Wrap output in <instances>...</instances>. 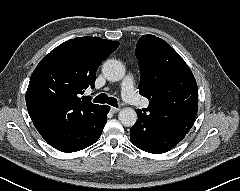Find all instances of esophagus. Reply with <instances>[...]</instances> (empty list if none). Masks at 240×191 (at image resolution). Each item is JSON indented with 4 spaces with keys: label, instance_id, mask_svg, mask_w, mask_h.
Segmentation results:
<instances>
[{
    "label": "esophagus",
    "instance_id": "esophagus-1",
    "mask_svg": "<svg viewBox=\"0 0 240 191\" xmlns=\"http://www.w3.org/2000/svg\"><path fill=\"white\" fill-rule=\"evenodd\" d=\"M111 112L112 113H117L119 110H120V108H117V107H111Z\"/></svg>",
    "mask_w": 240,
    "mask_h": 191
}]
</instances>
